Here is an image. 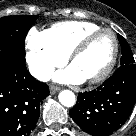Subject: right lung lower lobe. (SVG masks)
<instances>
[{"label": "right lung lower lobe", "instance_id": "1", "mask_svg": "<svg viewBox=\"0 0 136 136\" xmlns=\"http://www.w3.org/2000/svg\"><path fill=\"white\" fill-rule=\"evenodd\" d=\"M48 95V86L33 78L25 63L0 61V136H28Z\"/></svg>", "mask_w": 136, "mask_h": 136}]
</instances>
